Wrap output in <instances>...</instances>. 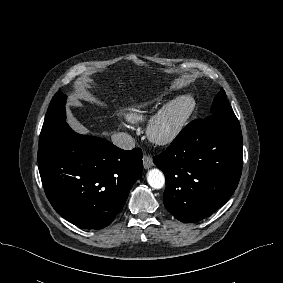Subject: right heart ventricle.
I'll use <instances>...</instances> for the list:
<instances>
[{"label":"right heart ventricle","instance_id":"right-heart-ventricle-1","mask_svg":"<svg viewBox=\"0 0 283 283\" xmlns=\"http://www.w3.org/2000/svg\"><path fill=\"white\" fill-rule=\"evenodd\" d=\"M153 109V103L144 101L134 104L126 109L125 117L132 123H139L144 121Z\"/></svg>","mask_w":283,"mask_h":283}]
</instances>
